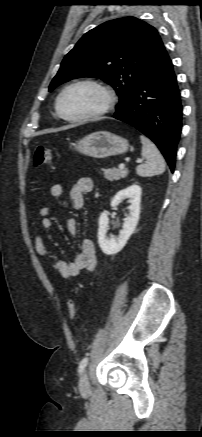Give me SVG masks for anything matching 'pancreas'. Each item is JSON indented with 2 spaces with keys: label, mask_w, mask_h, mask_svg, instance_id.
<instances>
[{
  "label": "pancreas",
  "mask_w": 202,
  "mask_h": 437,
  "mask_svg": "<svg viewBox=\"0 0 202 437\" xmlns=\"http://www.w3.org/2000/svg\"><path fill=\"white\" fill-rule=\"evenodd\" d=\"M102 171H103L104 177L110 181L125 178L128 174L127 169L121 170V169H117V168H112V169H102Z\"/></svg>",
  "instance_id": "obj_1"
}]
</instances>
